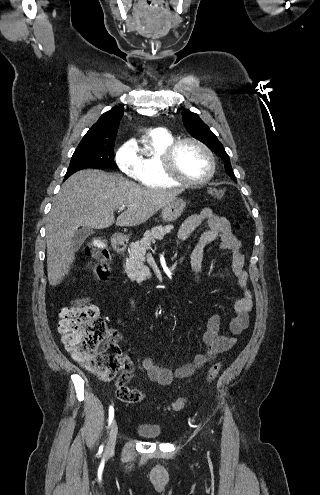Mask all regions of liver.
<instances>
[{
	"label": "liver",
	"instance_id": "obj_1",
	"mask_svg": "<svg viewBox=\"0 0 320 495\" xmlns=\"http://www.w3.org/2000/svg\"><path fill=\"white\" fill-rule=\"evenodd\" d=\"M182 190L146 189L119 174L82 170L62 185L46 224L47 274L51 286L60 284L75 259L72 245L80 226L110 227L114 212L126 207L116 220L118 226L146 222L159 209L174 200Z\"/></svg>",
	"mask_w": 320,
	"mask_h": 495
}]
</instances>
